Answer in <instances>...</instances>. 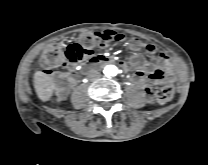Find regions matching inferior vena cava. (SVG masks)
Returning a JSON list of instances; mask_svg holds the SVG:
<instances>
[{"mask_svg":"<svg viewBox=\"0 0 208 165\" xmlns=\"http://www.w3.org/2000/svg\"><path fill=\"white\" fill-rule=\"evenodd\" d=\"M90 76H91V78H93V79H98L101 75H100L99 72H94V73H92Z\"/></svg>","mask_w":208,"mask_h":165,"instance_id":"obj_1","label":"inferior vena cava"}]
</instances>
